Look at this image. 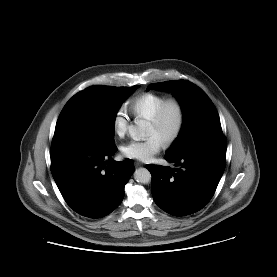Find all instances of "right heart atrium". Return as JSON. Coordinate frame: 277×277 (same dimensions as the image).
<instances>
[{"instance_id": "right-heart-atrium-1", "label": "right heart atrium", "mask_w": 277, "mask_h": 277, "mask_svg": "<svg viewBox=\"0 0 277 277\" xmlns=\"http://www.w3.org/2000/svg\"><path fill=\"white\" fill-rule=\"evenodd\" d=\"M112 126L115 134L119 137H123L129 127V117L123 109H119L113 116Z\"/></svg>"}]
</instances>
